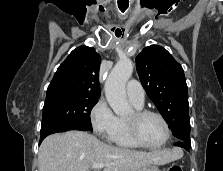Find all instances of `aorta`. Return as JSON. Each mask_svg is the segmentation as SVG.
<instances>
[{
  "label": "aorta",
  "mask_w": 223,
  "mask_h": 171,
  "mask_svg": "<svg viewBox=\"0 0 223 171\" xmlns=\"http://www.w3.org/2000/svg\"><path fill=\"white\" fill-rule=\"evenodd\" d=\"M133 72V63L129 59H123L111 70L106 83V99L117 115H125L130 112L131 106L126 98L125 85Z\"/></svg>",
  "instance_id": "aorta-1"
}]
</instances>
